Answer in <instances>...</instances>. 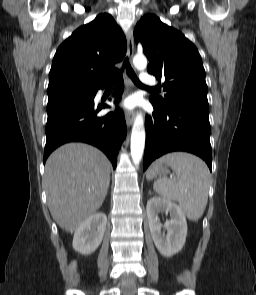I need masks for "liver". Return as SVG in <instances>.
<instances>
[{
  "mask_svg": "<svg viewBox=\"0 0 256 295\" xmlns=\"http://www.w3.org/2000/svg\"><path fill=\"white\" fill-rule=\"evenodd\" d=\"M110 170L107 157L83 143L65 144L49 156L44 175L48 207L63 230L76 231L101 207Z\"/></svg>",
  "mask_w": 256,
  "mask_h": 295,
  "instance_id": "6515ba94",
  "label": "liver"
}]
</instances>
